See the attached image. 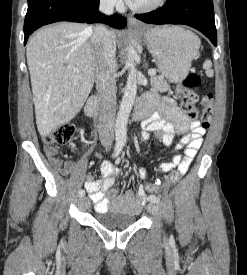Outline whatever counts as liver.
<instances>
[{"label":"liver","instance_id":"1","mask_svg":"<svg viewBox=\"0 0 247 275\" xmlns=\"http://www.w3.org/2000/svg\"><path fill=\"white\" fill-rule=\"evenodd\" d=\"M89 28L80 23H56L41 29L27 45L36 124L42 137L70 122L93 88Z\"/></svg>","mask_w":247,"mask_h":275}]
</instances>
